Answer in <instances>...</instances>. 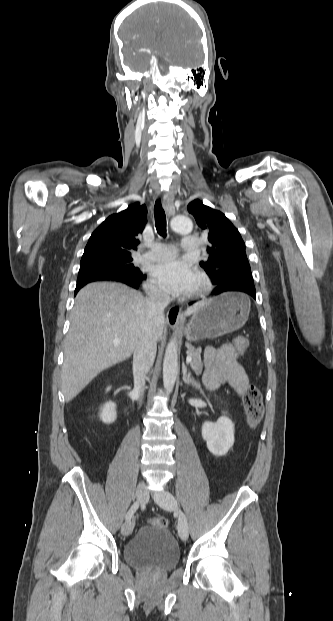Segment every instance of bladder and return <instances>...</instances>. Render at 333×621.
I'll return each mask as SVG.
<instances>
[{
  "label": "bladder",
  "mask_w": 333,
  "mask_h": 621,
  "mask_svg": "<svg viewBox=\"0 0 333 621\" xmlns=\"http://www.w3.org/2000/svg\"><path fill=\"white\" fill-rule=\"evenodd\" d=\"M179 546L165 527L146 525L125 544L124 560L134 568L162 572L172 569L179 561Z\"/></svg>",
  "instance_id": "obj_1"
}]
</instances>
